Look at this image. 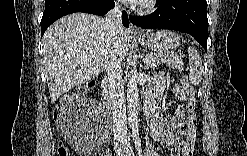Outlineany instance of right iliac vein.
Segmentation results:
<instances>
[{
    "label": "right iliac vein",
    "mask_w": 247,
    "mask_h": 156,
    "mask_svg": "<svg viewBox=\"0 0 247 156\" xmlns=\"http://www.w3.org/2000/svg\"><path fill=\"white\" fill-rule=\"evenodd\" d=\"M120 150H121V146H117L116 151H120Z\"/></svg>",
    "instance_id": "obj_1"
}]
</instances>
